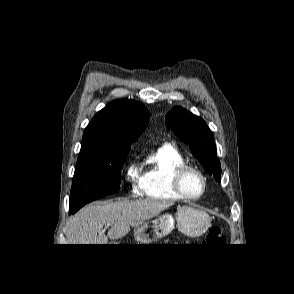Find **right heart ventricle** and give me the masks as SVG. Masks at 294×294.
I'll use <instances>...</instances> for the list:
<instances>
[{
	"mask_svg": "<svg viewBox=\"0 0 294 294\" xmlns=\"http://www.w3.org/2000/svg\"><path fill=\"white\" fill-rule=\"evenodd\" d=\"M183 163L184 157L174 146H159L141 164L139 193L153 200H179L172 188V172Z\"/></svg>",
	"mask_w": 294,
	"mask_h": 294,
	"instance_id": "obj_1",
	"label": "right heart ventricle"
}]
</instances>
